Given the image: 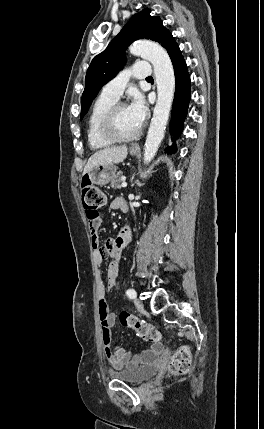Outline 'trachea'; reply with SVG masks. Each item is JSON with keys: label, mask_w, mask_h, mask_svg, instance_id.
I'll return each mask as SVG.
<instances>
[{"label": "trachea", "mask_w": 264, "mask_h": 429, "mask_svg": "<svg viewBox=\"0 0 264 429\" xmlns=\"http://www.w3.org/2000/svg\"><path fill=\"white\" fill-rule=\"evenodd\" d=\"M147 79H148V80H151V79H153V78L150 76V77H148Z\"/></svg>", "instance_id": "3493384b"}]
</instances>
